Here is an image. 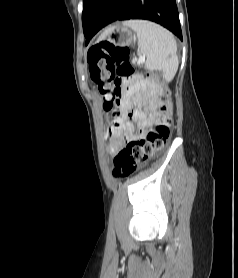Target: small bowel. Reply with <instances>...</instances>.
<instances>
[{"mask_svg":"<svg viewBox=\"0 0 238 278\" xmlns=\"http://www.w3.org/2000/svg\"><path fill=\"white\" fill-rule=\"evenodd\" d=\"M153 106L154 102L148 97L141 77L124 84L117 107L116 126L111 132L110 153L119 152L124 144L144 136L145 129L155 120ZM135 125L139 129L137 135L134 133Z\"/></svg>","mask_w":238,"mask_h":278,"instance_id":"small-bowel-1","label":"small bowel"}]
</instances>
